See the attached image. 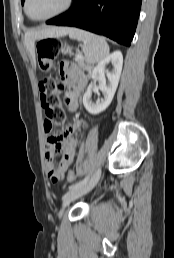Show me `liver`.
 <instances>
[{"label":"liver","mask_w":174,"mask_h":258,"mask_svg":"<svg viewBox=\"0 0 174 258\" xmlns=\"http://www.w3.org/2000/svg\"><path fill=\"white\" fill-rule=\"evenodd\" d=\"M69 28L66 27H48L39 31H30L25 34V44L27 49L31 53L32 57H35V41L37 39L47 37H60L68 34Z\"/></svg>","instance_id":"1"}]
</instances>
